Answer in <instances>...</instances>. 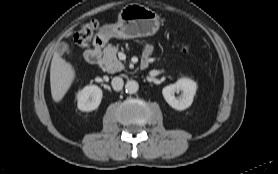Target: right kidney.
Wrapping results in <instances>:
<instances>
[{
    "label": "right kidney",
    "mask_w": 278,
    "mask_h": 174,
    "mask_svg": "<svg viewBox=\"0 0 278 174\" xmlns=\"http://www.w3.org/2000/svg\"><path fill=\"white\" fill-rule=\"evenodd\" d=\"M77 105L81 111H92L98 108L102 99V90L96 85L84 87L78 92Z\"/></svg>",
    "instance_id": "right-kidney-1"
}]
</instances>
